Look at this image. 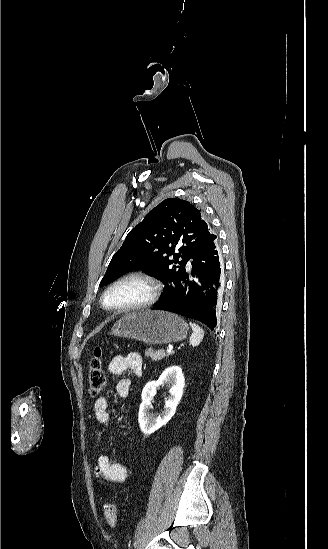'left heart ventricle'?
Masks as SVG:
<instances>
[{
  "label": "left heart ventricle",
  "instance_id": "obj_1",
  "mask_svg": "<svg viewBox=\"0 0 328 549\" xmlns=\"http://www.w3.org/2000/svg\"><path fill=\"white\" fill-rule=\"evenodd\" d=\"M148 288L146 284L137 279H129L115 289L106 297V302L112 306H122L144 299Z\"/></svg>",
  "mask_w": 328,
  "mask_h": 549
}]
</instances>
